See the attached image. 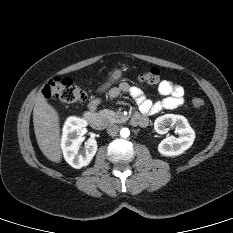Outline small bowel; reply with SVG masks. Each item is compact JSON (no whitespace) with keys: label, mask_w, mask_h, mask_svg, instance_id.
<instances>
[{"label":"small bowel","mask_w":233,"mask_h":233,"mask_svg":"<svg viewBox=\"0 0 233 233\" xmlns=\"http://www.w3.org/2000/svg\"><path fill=\"white\" fill-rule=\"evenodd\" d=\"M158 93L163 96V99L157 102H153L146 97L144 92L136 86H133L127 82H122L118 88H114L110 91L111 97H117L120 92L128 93L137 103L140 113L135 116H141L147 119L149 115H154L162 110L175 109L184 104V88L169 80H163L157 87ZM100 101L98 99L93 100L90 103L91 109H96Z\"/></svg>","instance_id":"obj_1"}]
</instances>
